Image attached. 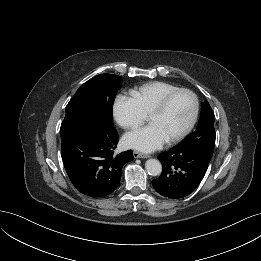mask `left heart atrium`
<instances>
[{"label":"left heart atrium","instance_id":"1","mask_svg":"<svg viewBox=\"0 0 261 261\" xmlns=\"http://www.w3.org/2000/svg\"><path fill=\"white\" fill-rule=\"evenodd\" d=\"M167 140L168 137L155 124H149L148 126L129 132L123 138L125 146L142 152L157 150L161 148Z\"/></svg>","mask_w":261,"mask_h":261}]
</instances>
